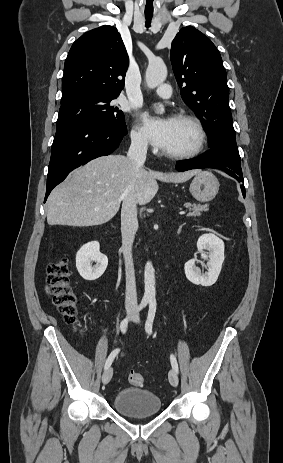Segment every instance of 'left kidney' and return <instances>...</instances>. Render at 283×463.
<instances>
[{
  "label": "left kidney",
  "instance_id": "1",
  "mask_svg": "<svg viewBox=\"0 0 283 463\" xmlns=\"http://www.w3.org/2000/svg\"><path fill=\"white\" fill-rule=\"evenodd\" d=\"M197 248L203 259L209 258L208 272L201 274L195 265L196 259H191L185 263V275L193 284L204 287L212 286L217 281L224 262V242L214 234H203L198 238ZM204 250H208L209 254H206Z\"/></svg>",
  "mask_w": 283,
  "mask_h": 463
}]
</instances>
